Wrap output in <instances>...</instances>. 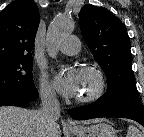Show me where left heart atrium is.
<instances>
[{
	"label": "left heart atrium",
	"instance_id": "1",
	"mask_svg": "<svg viewBox=\"0 0 144 137\" xmlns=\"http://www.w3.org/2000/svg\"><path fill=\"white\" fill-rule=\"evenodd\" d=\"M59 92L66 97H75L80 90V72L75 68L61 70L56 77Z\"/></svg>",
	"mask_w": 144,
	"mask_h": 137
}]
</instances>
